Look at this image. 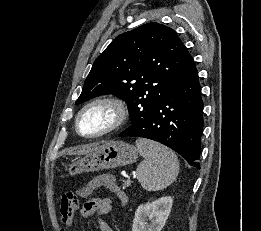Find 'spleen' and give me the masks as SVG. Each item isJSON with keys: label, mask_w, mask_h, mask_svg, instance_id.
<instances>
[{"label": "spleen", "mask_w": 261, "mask_h": 231, "mask_svg": "<svg viewBox=\"0 0 261 231\" xmlns=\"http://www.w3.org/2000/svg\"><path fill=\"white\" fill-rule=\"evenodd\" d=\"M136 146L144 158L136 170V175L145 190H162L176 180L179 161L172 150L143 138L136 140Z\"/></svg>", "instance_id": "spleen-1"}]
</instances>
